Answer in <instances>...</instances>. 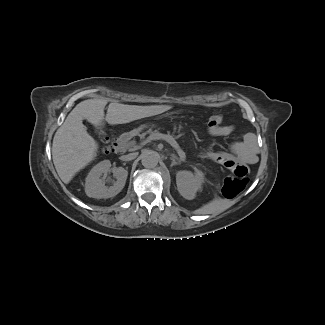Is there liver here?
I'll return each instance as SVG.
<instances>
[{
    "label": "liver",
    "instance_id": "liver-1",
    "mask_svg": "<svg viewBox=\"0 0 325 325\" xmlns=\"http://www.w3.org/2000/svg\"><path fill=\"white\" fill-rule=\"evenodd\" d=\"M107 102L106 99H88L80 102L56 131L52 158L56 171L65 184L97 155L98 143L87 132L83 119L96 127H102L104 120L111 125L124 124L158 115L172 108L170 105L137 106L110 103L105 117L104 108Z\"/></svg>",
    "mask_w": 325,
    "mask_h": 325
}]
</instances>
